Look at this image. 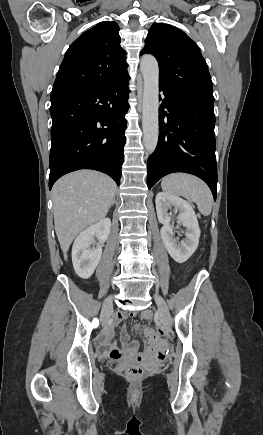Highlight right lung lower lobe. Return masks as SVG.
<instances>
[{
	"label": "right lung lower lobe",
	"instance_id": "98d812e1",
	"mask_svg": "<svg viewBox=\"0 0 263 435\" xmlns=\"http://www.w3.org/2000/svg\"><path fill=\"white\" fill-rule=\"evenodd\" d=\"M127 74L89 90L51 99L49 189L64 174L93 169L120 184L127 127Z\"/></svg>",
	"mask_w": 263,
	"mask_h": 435
}]
</instances>
